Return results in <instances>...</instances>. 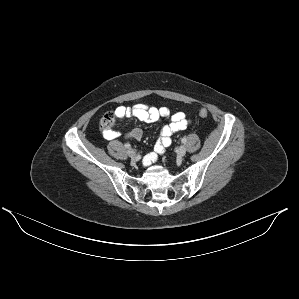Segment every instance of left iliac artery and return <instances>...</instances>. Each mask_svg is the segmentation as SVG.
I'll use <instances>...</instances> for the list:
<instances>
[{
  "instance_id": "44dca946",
  "label": "left iliac artery",
  "mask_w": 299,
  "mask_h": 299,
  "mask_svg": "<svg viewBox=\"0 0 299 299\" xmlns=\"http://www.w3.org/2000/svg\"><path fill=\"white\" fill-rule=\"evenodd\" d=\"M181 141H182V143H186L187 140H186V138H182Z\"/></svg>"
}]
</instances>
